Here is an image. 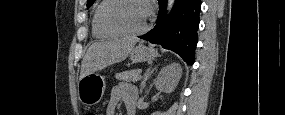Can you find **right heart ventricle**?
I'll list each match as a JSON object with an SVG mask.
<instances>
[{
	"label": "right heart ventricle",
	"instance_id": "1",
	"mask_svg": "<svg viewBox=\"0 0 285 115\" xmlns=\"http://www.w3.org/2000/svg\"><path fill=\"white\" fill-rule=\"evenodd\" d=\"M105 1L107 0L99 1L93 11L91 23L92 35L97 39H115L118 38L120 35L104 28L99 21V12L101 6L105 3Z\"/></svg>",
	"mask_w": 285,
	"mask_h": 115
}]
</instances>
